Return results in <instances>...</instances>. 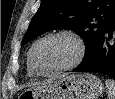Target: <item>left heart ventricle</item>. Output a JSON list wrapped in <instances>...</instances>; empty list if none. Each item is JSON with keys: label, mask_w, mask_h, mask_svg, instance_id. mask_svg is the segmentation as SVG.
Returning a JSON list of instances; mask_svg holds the SVG:
<instances>
[{"label": "left heart ventricle", "mask_w": 115, "mask_h": 99, "mask_svg": "<svg viewBox=\"0 0 115 99\" xmlns=\"http://www.w3.org/2000/svg\"><path fill=\"white\" fill-rule=\"evenodd\" d=\"M76 52V45L71 39L54 37L36 47L34 61L41 71L48 72L70 63Z\"/></svg>", "instance_id": "b2bd125f"}]
</instances>
